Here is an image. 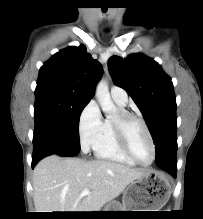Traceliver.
<instances>
[{"instance_id":"6515ba94","label":"liver","mask_w":203,"mask_h":219,"mask_svg":"<svg viewBox=\"0 0 203 219\" xmlns=\"http://www.w3.org/2000/svg\"><path fill=\"white\" fill-rule=\"evenodd\" d=\"M145 173L144 169L107 160L51 155L34 169V206L37 212L100 211ZM84 189L90 190V194L81 196Z\"/></svg>"}]
</instances>
